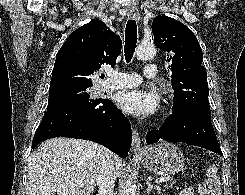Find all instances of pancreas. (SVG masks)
<instances>
[{
    "label": "pancreas",
    "instance_id": "cf45deb5",
    "mask_svg": "<svg viewBox=\"0 0 245 195\" xmlns=\"http://www.w3.org/2000/svg\"><path fill=\"white\" fill-rule=\"evenodd\" d=\"M172 185H173V183H171V184H169V185H164V187H165V188H166V187L171 188V187H172Z\"/></svg>",
    "mask_w": 245,
    "mask_h": 195
}]
</instances>
